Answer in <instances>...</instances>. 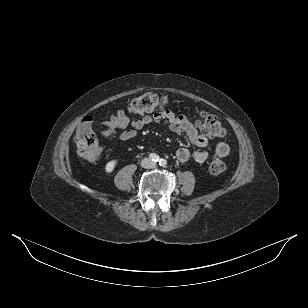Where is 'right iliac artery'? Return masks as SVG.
<instances>
[{
  "instance_id": "right-iliac-artery-1",
  "label": "right iliac artery",
  "mask_w": 308,
  "mask_h": 308,
  "mask_svg": "<svg viewBox=\"0 0 308 308\" xmlns=\"http://www.w3.org/2000/svg\"><path fill=\"white\" fill-rule=\"evenodd\" d=\"M149 158L154 162H158L160 160L159 156L154 153L149 154Z\"/></svg>"
}]
</instances>
